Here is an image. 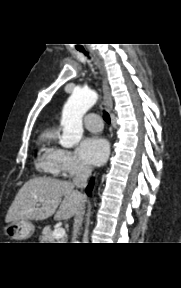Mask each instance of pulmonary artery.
Listing matches in <instances>:
<instances>
[{"label": "pulmonary artery", "instance_id": "e3ab8cb5", "mask_svg": "<svg viewBox=\"0 0 181 288\" xmlns=\"http://www.w3.org/2000/svg\"><path fill=\"white\" fill-rule=\"evenodd\" d=\"M85 127L92 132H99L102 129V121L98 114L89 113L85 117Z\"/></svg>", "mask_w": 181, "mask_h": 288}]
</instances>
